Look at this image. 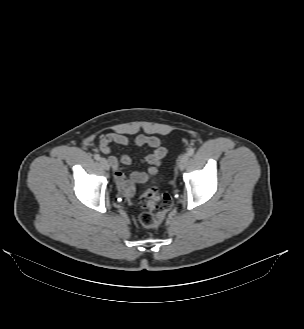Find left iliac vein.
<instances>
[{
    "instance_id": "left-iliac-vein-1",
    "label": "left iliac vein",
    "mask_w": 304,
    "mask_h": 329,
    "mask_svg": "<svg viewBox=\"0 0 304 329\" xmlns=\"http://www.w3.org/2000/svg\"><path fill=\"white\" fill-rule=\"evenodd\" d=\"M189 161V155L187 153L183 154L179 159V168L180 170H184L187 163Z\"/></svg>"
}]
</instances>
